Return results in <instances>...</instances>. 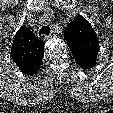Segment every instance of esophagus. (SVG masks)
I'll return each instance as SVG.
<instances>
[{"label": "esophagus", "mask_w": 113, "mask_h": 113, "mask_svg": "<svg viewBox=\"0 0 113 113\" xmlns=\"http://www.w3.org/2000/svg\"><path fill=\"white\" fill-rule=\"evenodd\" d=\"M52 37H55V34H50V35L45 36L44 40H48V39H50Z\"/></svg>", "instance_id": "esophagus-1"}]
</instances>
